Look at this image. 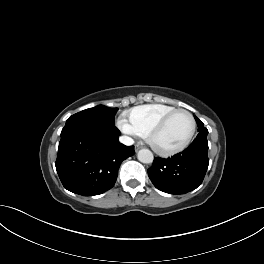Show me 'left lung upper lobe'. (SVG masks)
Returning a JSON list of instances; mask_svg holds the SVG:
<instances>
[{"mask_svg":"<svg viewBox=\"0 0 264 264\" xmlns=\"http://www.w3.org/2000/svg\"><path fill=\"white\" fill-rule=\"evenodd\" d=\"M194 117L197 122L198 131H199L196 138H207V134H208L207 128L204 127L203 122L200 119H198L196 116Z\"/></svg>","mask_w":264,"mask_h":264,"instance_id":"left-lung-upper-lobe-1","label":"left lung upper lobe"}]
</instances>
